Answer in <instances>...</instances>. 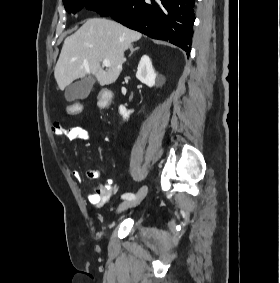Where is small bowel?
Instances as JSON below:
<instances>
[{
	"label": "small bowel",
	"instance_id": "c3829d8e",
	"mask_svg": "<svg viewBox=\"0 0 280 283\" xmlns=\"http://www.w3.org/2000/svg\"><path fill=\"white\" fill-rule=\"evenodd\" d=\"M51 133L55 137H64L70 141H85L88 139V131L82 126L64 127L59 122H54L51 127ZM72 175L78 179L81 177L79 170H73ZM86 177L90 182L94 183V190L89 193L88 201L94 207H102L105 205L116 192V185L112 179H107L104 182L101 180V172L98 169H88Z\"/></svg>",
	"mask_w": 280,
	"mask_h": 283
}]
</instances>
